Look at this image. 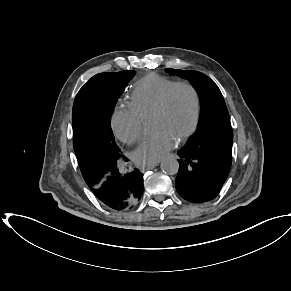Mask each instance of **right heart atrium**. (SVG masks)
I'll list each match as a JSON object with an SVG mask.
<instances>
[{"instance_id": "d8ad5b80", "label": "right heart atrium", "mask_w": 291, "mask_h": 291, "mask_svg": "<svg viewBox=\"0 0 291 291\" xmlns=\"http://www.w3.org/2000/svg\"><path fill=\"white\" fill-rule=\"evenodd\" d=\"M111 128L121 142L133 144L142 135L143 121L129 106H117L111 116Z\"/></svg>"}]
</instances>
